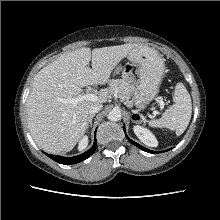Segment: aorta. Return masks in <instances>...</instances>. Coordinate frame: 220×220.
<instances>
[{"instance_id": "aorta-1", "label": "aorta", "mask_w": 220, "mask_h": 220, "mask_svg": "<svg viewBox=\"0 0 220 220\" xmlns=\"http://www.w3.org/2000/svg\"><path fill=\"white\" fill-rule=\"evenodd\" d=\"M107 118L113 122L119 121L121 120V111L118 109H113L108 113Z\"/></svg>"}]
</instances>
